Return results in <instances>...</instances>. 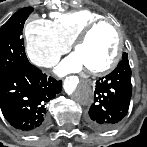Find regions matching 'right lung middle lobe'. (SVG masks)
I'll use <instances>...</instances> for the list:
<instances>
[{"mask_svg": "<svg viewBox=\"0 0 147 147\" xmlns=\"http://www.w3.org/2000/svg\"><path fill=\"white\" fill-rule=\"evenodd\" d=\"M32 11L31 7L19 10L0 29V77L30 64L20 36Z\"/></svg>", "mask_w": 147, "mask_h": 147, "instance_id": "1", "label": "right lung middle lobe"}]
</instances>
